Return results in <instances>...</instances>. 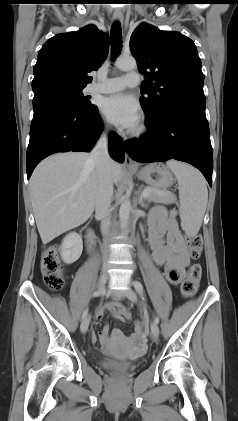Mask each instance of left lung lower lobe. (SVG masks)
<instances>
[{"mask_svg": "<svg viewBox=\"0 0 238 421\" xmlns=\"http://www.w3.org/2000/svg\"><path fill=\"white\" fill-rule=\"evenodd\" d=\"M205 96H189L147 120L148 132L125 143L133 160L142 163L175 159L198 168L212 185L213 154L205 115Z\"/></svg>", "mask_w": 238, "mask_h": 421, "instance_id": "obj_1", "label": "left lung lower lobe"}]
</instances>
